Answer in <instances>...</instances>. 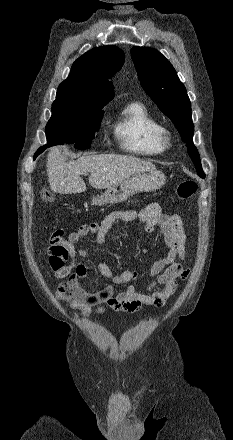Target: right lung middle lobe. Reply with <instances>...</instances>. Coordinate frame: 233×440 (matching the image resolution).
<instances>
[{
	"instance_id": "dd1d6c3e",
	"label": "right lung middle lobe",
	"mask_w": 233,
	"mask_h": 440,
	"mask_svg": "<svg viewBox=\"0 0 233 440\" xmlns=\"http://www.w3.org/2000/svg\"><path fill=\"white\" fill-rule=\"evenodd\" d=\"M104 105L53 103L52 116L46 126L47 147L75 144L88 149L103 118Z\"/></svg>"
}]
</instances>
